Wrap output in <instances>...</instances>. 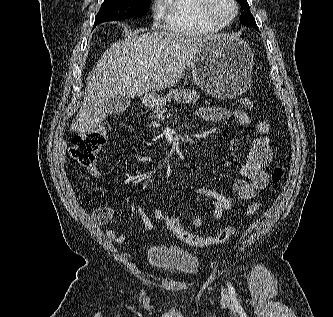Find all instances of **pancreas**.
I'll return each instance as SVG.
<instances>
[{
    "instance_id": "cf45deb5",
    "label": "pancreas",
    "mask_w": 333,
    "mask_h": 317,
    "mask_svg": "<svg viewBox=\"0 0 333 317\" xmlns=\"http://www.w3.org/2000/svg\"><path fill=\"white\" fill-rule=\"evenodd\" d=\"M200 98L195 90L190 89H172L167 95L159 98L157 104L155 105L154 114L156 119H162L163 113L167 111V106L169 102L189 104L191 102H196Z\"/></svg>"
}]
</instances>
